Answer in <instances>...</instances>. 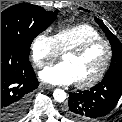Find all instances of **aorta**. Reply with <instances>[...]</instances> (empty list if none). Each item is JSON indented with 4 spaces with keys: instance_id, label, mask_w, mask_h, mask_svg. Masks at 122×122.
I'll return each mask as SVG.
<instances>
[{
    "instance_id": "aorta-1",
    "label": "aorta",
    "mask_w": 122,
    "mask_h": 122,
    "mask_svg": "<svg viewBox=\"0 0 122 122\" xmlns=\"http://www.w3.org/2000/svg\"><path fill=\"white\" fill-rule=\"evenodd\" d=\"M53 97L57 102H63L66 99V92L62 89H56L53 93Z\"/></svg>"
}]
</instances>
